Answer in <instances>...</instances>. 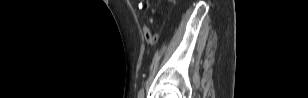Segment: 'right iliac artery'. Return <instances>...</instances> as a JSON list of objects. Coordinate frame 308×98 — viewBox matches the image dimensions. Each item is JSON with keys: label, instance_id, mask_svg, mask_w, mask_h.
<instances>
[{"label": "right iliac artery", "instance_id": "82829eb1", "mask_svg": "<svg viewBox=\"0 0 308 98\" xmlns=\"http://www.w3.org/2000/svg\"><path fill=\"white\" fill-rule=\"evenodd\" d=\"M144 97V90H140V92L138 93V98H143Z\"/></svg>", "mask_w": 308, "mask_h": 98}]
</instances>
